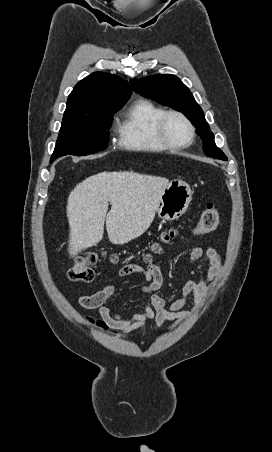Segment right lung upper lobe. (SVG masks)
<instances>
[{
    "label": "right lung upper lobe",
    "instance_id": "cb5924a9",
    "mask_svg": "<svg viewBox=\"0 0 272 452\" xmlns=\"http://www.w3.org/2000/svg\"><path fill=\"white\" fill-rule=\"evenodd\" d=\"M131 94L129 84L120 77L95 72L76 84L68 96L63 119L88 116L103 108L126 103Z\"/></svg>",
    "mask_w": 272,
    "mask_h": 452
}]
</instances>
